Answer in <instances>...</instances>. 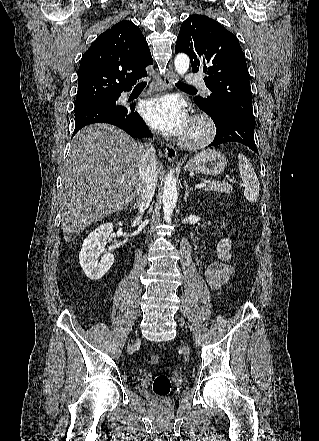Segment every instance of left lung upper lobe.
<instances>
[{"label": "left lung upper lobe", "mask_w": 319, "mask_h": 441, "mask_svg": "<svg viewBox=\"0 0 319 441\" xmlns=\"http://www.w3.org/2000/svg\"><path fill=\"white\" fill-rule=\"evenodd\" d=\"M175 52L189 56L194 73L206 74L212 93L194 98L200 109L214 119L235 113L255 120L247 64L235 35L209 17L191 15L181 25Z\"/></svg>", "instance_id": "1"}]
</instances>
